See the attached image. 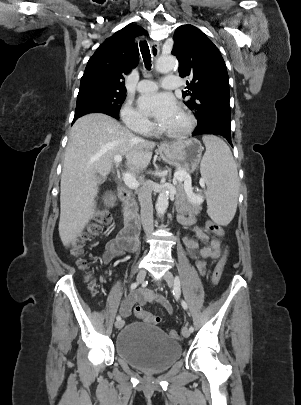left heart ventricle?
Listing matches in <instances>:
<instances>
[{"mask_svg":"<svg viewBox=\"0 0 301 405\" xmlns=\"http://www.w3.org/2000/svg\"><path fill=\"white\" fill-rule=\"evenodd\" d=\"M186 124V121L182 114L178 115L174 119H172L170 122L162 125V128L168 131H178L184 128Z\"/></svg>","mask_w":301,"mask_h":405,"instance_id":"b2bd125f","label":"left heart ventricle"}]
</instances>
